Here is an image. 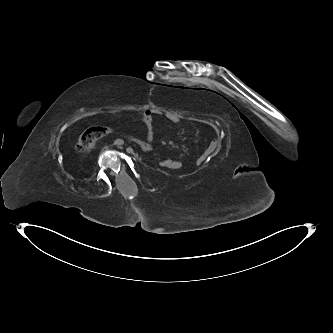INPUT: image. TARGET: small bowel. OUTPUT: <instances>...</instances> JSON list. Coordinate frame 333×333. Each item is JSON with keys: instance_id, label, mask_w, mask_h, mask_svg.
Segmentation results:
<instances>
[{"instance_id": "obj_1", "label": "small bowel", "mask_w": 333, "mask_h": 333, "mask_svg": "<svg viewBox=\"0 0 333 333\" xmlns=\"http://www.w3.org/2000/svg\"><path fill=\"white\" fill-rule=\"evenodd\" d=\"M157 114L152 111V110H146L143 112L142 114V122L146 128V135H147V139L150 140L153 137V119ZM168 120L172 123H179L181 121L179 116L176 115H172L168 117ZM208 153H205L203 155H201L198 160L197 163L201 164L205 161V159L207 158ZM173 160V165L172 167H166V169H170V170H177L180 169L182 167V163L179 160ZM165 168V167H164Z\"/></svg>"}]
</instances>
